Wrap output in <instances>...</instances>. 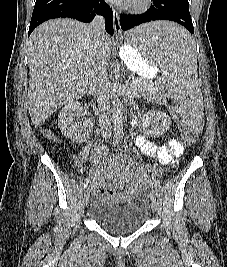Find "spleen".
<instances>
[{
	"label": "spleen",
	"mask_w": 227,
	"mask_h": 267,
	"mask_svg": "<svg viewBox=\"0 0 227 267\" xmlns=\"http://www.w3.org/2000/svg\"><path fill=\"white\" fill-rule=\"evenodd\" d=\"M192 38L182 22L175 19H151L141 27H131L125 33L127 47H138L147 63H158L162 76L155 81H164L167 95L178 101L179 115H202L201 91L197 78V59ZM186 129H205L206 116H182Z\"/></svg>",
	"instance_id": "obj_1"
}]
</instances>
